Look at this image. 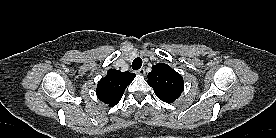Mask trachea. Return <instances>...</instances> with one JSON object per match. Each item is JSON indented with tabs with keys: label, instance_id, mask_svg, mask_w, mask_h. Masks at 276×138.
<instances>
[{
	"label": "trachea",
	"instance_id": "obj_1",
	"mask_svg": "<svg viewBox=\"0 0 276 138\" xmlns=\"http://www.w3.org/2000/svg\"><path fill=\"white\" fill-rule=\"evenodd\" d=\"M142 66V59L140 57H137L132 62V68L133 70H139Z\"/></svg>",
	"mask_w": 276,
	"mask_h": 138
}]
</instances>
